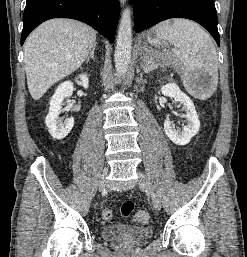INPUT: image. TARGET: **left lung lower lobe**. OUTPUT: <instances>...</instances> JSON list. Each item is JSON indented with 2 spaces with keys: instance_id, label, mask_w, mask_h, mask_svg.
I'll use <instances>...</instances> for the list:
<instances>
[{
  "instance_id": "0a47b994",
  "label": "left lung lower lobe",
  "mask_w": 247,
  "mask_h": 257,
  "mask_svg": "<svg viewBox=\"0 0 247 257\" xmlns=\"http://www.w3.org/2000/svg\"><path fill=\"white\" fill-rule=\"evenodd\" d=\"M133 7L136 32L169 18H186L206 28L220 46L214 0H133Z\"/></svg>"
}]
</instances>
